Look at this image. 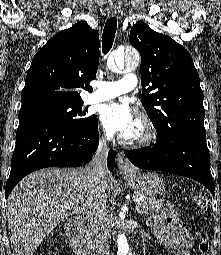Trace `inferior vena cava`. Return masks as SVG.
Returning <instances> with one entry per match:
<instances>
[{"mask_svg":"<svg viewBox=\"0 0 221 255\" xmlns=\"http://www.w3.org/2000/svg\"><path fill=\"white\" fill-rule=\"evenodd\" d=\"M107 154L108 148L106 142L102 140L95 156L88 166L90 178L97 183L102 182L106 176ZM105 210V203L92 202L86 213L87 226L94 238L99 255H110L109 228Z\"/></svg>","mask_w":221,"mask_h":255,"instance_id":"602c4592","label":"inferior vena cava"}]
</instances>
